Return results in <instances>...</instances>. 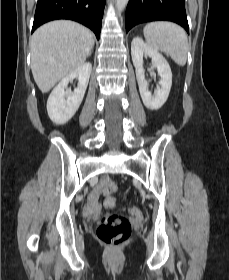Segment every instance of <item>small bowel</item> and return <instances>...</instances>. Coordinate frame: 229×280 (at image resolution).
<instances>
[{
	"mask_svg": "<svg viewBox=\"0 0 229 280\" xmlns=\"http://www.w3.org/2000/svg\"><path fill=\"white\" fill-rule=\"evenodd\" d=\"M101 194L106 195V199L104 202L105 208H114L116 205L115 199L113 197L108 196V193H105L101 186H97L93 188L89 194V199L85 211L87 214H96L99 212V198Z\"/></svg>",
	"mask_w": 229,
	"mask_h": 280,
	"instance_id": "c3829d8e",
	"label": "small bowel"
}]
</instances>
